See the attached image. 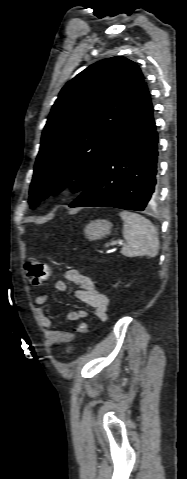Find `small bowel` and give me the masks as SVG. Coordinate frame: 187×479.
Masks as SVG:
<instances>
[{
  "label": "small bowel",
  "mask_w": 187,
  "mask_h": 479,
  "mask_svg": "<svg viewBox=\"0 0 187 479\" xmlns=\"http://www.w3.org/2000/svg\"><path fill=\"white\" fill-rule=\"evenodd\" d=\"M67 281L76 286L74 296L80 302L92 307L100 321L107 319L109 307V299L104 295L92 282V280L77 269H69L65 273ZM57 292H65L67 284L63 280H57L54 284ZM50 301L48 294H40L36 297L35 302L38 306H43ZM36 316L40 324L46 329L48 338L53 342H61L65 339L66 333L57 330L52 321L46 316L42 308H37ZM88 312L84 309L71 311L67 315V319L71 322H78L87 318Z\"/></svg>",
  "instance_id": "1"
}]
</instances>
